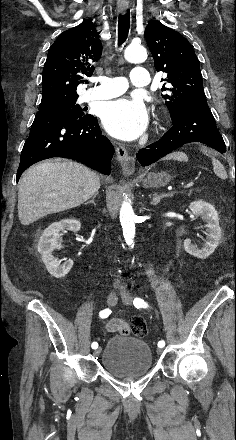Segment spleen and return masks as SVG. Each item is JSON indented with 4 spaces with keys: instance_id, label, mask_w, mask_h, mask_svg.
<instances>
[{
    "instance_id": "3e777b00",
    "label": "spleen",
    "mask_w": 236,
    "mask_h": 440,
    "mask_svg": "<svg viewBox=\"0 0 236 440\" xmlns=\"http://www.w3.org/2000/svg\"><path fill=\"white\" fill-rule=\"evenodd\" d=\"M213 169L216 175H218L221 179L227 178V173L223 167V165L216 159H212Z\"/></svg>"
}]
</instances>
